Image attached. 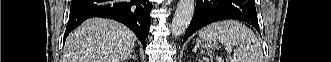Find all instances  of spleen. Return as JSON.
Segmentation results:
<instances>
[{
  "label": "spleen",
  "mask_w": 331,
  "mask_h": 62,
  "mask_svg": "<svg viewBox=\"0 0 331 62\" xmlns=\"http://www.w3.org/2000/svg\"><path fill=\"white\" fill-rule=\"evenodd\" d=\"M199 37L218 40L228 48L234 47L231 62H262L258 39L248 27L238 21L226 20L210 24L199 31Z\"/></svg>",
  "instance_id": "1"
}]
</instances>
